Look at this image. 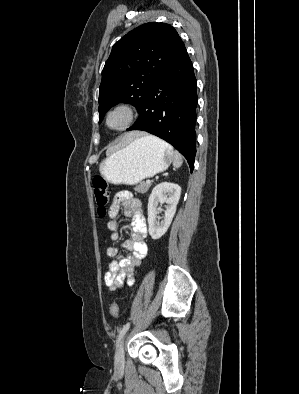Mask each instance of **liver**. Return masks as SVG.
<instances>
[{
  "mask_svg": "<svg viewBox=\"0 0 299 394\" xmlns=\"http://www.w3.org/2000/svg\"><path fill=\"white\" fill-rule=\"evenodd\" d=\"M141 136H143V133H139V132H130V133H128V134H126V135L124 136V138H123V140H122V143H123V144H127V143L133 141L134 139L139 138V137H141Z\"/></svg>",
  "mask_w": 299,
  "mask_h": 394,
  "instance_id": "liver-1",
  "label": "liver"
}]
</instances>
